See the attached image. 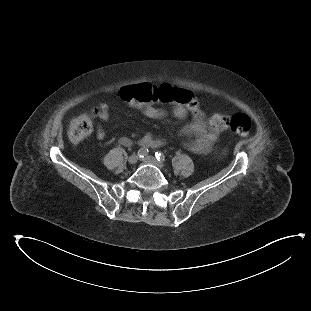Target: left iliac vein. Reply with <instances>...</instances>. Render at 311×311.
Returning a JSON list of instances; mask_svg holds the SVG:
<instances>
[{
  "label": "left iliac vein",
  "instance_id": "obj_1",
  "mask_svg": "<svg viewBox=\"0 0 311 311\" xmlns=\"http://www.w3.org/2000/svg\"><path fill=\"white\" fill-rule=\"evenodd\" d=\"M142 161L149 163V164H152V165H154L160 169L164 168V165L161 162H159L158 160H156V158L153 156H146L145 158L142 159Z\"/></svg>",
  "mask_w": 311,
  "mask_h": 311
}]
</instances>
